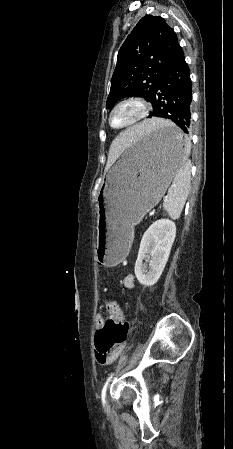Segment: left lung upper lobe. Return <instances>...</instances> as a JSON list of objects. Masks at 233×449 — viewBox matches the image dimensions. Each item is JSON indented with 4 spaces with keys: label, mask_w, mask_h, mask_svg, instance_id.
<instances>
[{
    "label": "left lung upper lobe",
    "mask_w": 233,
    "mask_h": 449,
    "mask_svg": "<svg viewBox=\"0 0 233 449\" xmlns=\"http://www.w3.org/2000/svg\"><path fill=\"white\" fill-rule=\"evenodd\" d=\"M181 53L176 33L162 17H143L118 52L106 108L126 96L152 102L157 83Z\"/></svg>",
    "instance_id": "obj_1"
}]
</instances>
